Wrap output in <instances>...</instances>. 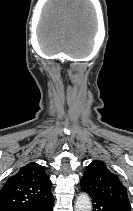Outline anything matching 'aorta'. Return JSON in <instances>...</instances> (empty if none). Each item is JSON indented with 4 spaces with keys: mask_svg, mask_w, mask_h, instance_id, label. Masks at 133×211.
Returning a JSON list of instances; mask_svg holds the SVG:
<instances>
[{
    "mask_svg": "<svg viewBox=\"0 0 133 211\" xmlns=\"http://www.w3.org/2000/svg\"><path fill=\"white\" fill-rule=\"evenodd\" d=\"M75 211H92L90 197L86 193H81L75 201Z\"/></svg>",
    "mask_w": 133,
    "mask_h": 211,
    "instance_id": "1",
    "label": "aorta"
}]
</instances>
